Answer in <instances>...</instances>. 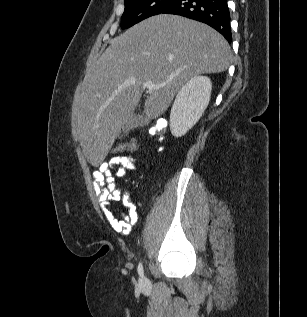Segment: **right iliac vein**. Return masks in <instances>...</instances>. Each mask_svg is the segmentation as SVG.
I'll list each match as a JSON object with an SVG mask.
<instances>
[{
    "instance_id": "right-iliac-vein-1",
    "label": "right iliac vein",
    "mask_w": 307,
    "mask_h": 317,
    "mask_svg": "<svg viewBox=\"0 0 307 317\" xmlns=\"http://www.w3.org/2000/svg\"><path fill=\"white\" fill-rule=\"evenodd\" d=\"M146 283H147L146 278H142V279L140 280V284H141V285H145Z\"/></svg>"
}]
</instances>
